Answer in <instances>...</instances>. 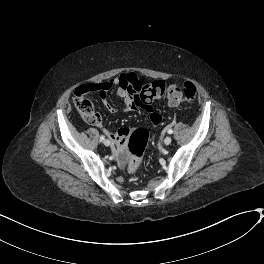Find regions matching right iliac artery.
Here are the masks:
<instances>
[{
    "instance_id": "obj_1",
    "label": "right iliac artery",
    "mask_w": 264,
    "mask_h": 264,
    "mask_svg": "<svg viewBox=\"0 0 264 264\" xmlns=\"http://www.w3.org/2000/svg\"><path fill=\"white\" fill-rule=\"evenodd\" d=\"M100 140L103 141L105 140V137L103 135L100 136Z\"/></svg>"
}]
</instances>
